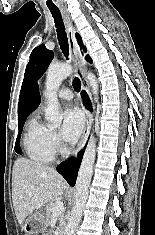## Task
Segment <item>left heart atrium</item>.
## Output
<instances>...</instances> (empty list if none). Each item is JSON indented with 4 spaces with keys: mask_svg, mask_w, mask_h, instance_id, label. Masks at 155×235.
Wrapping results in <instances>:
<instances>
[{
    "mask_svg": "<svg viewBox=\"0 0 155 235\" xmlns=\"http://www.w3.org/2000/svg\"><path fill=\"white\" fill-rule=\"evenodd\" d=\"M85 118L78 108H69L63 114L62 135L67 142H75L80 136Z\"/></svg>",
    "mask_w": 155,
    "mask_h": 235,
    "instance_id": "obj_1",
    "label": "left heart atrium"
}]
</instances>
